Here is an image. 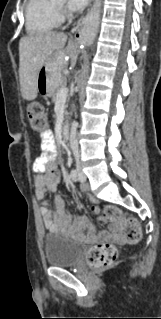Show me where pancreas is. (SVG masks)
Here are the masks:
<instances>
[{
  "mask_svg": "<svg viewBox=\"0 0 161 319\" xmlns=\"http://www.w3.org/2000/svg\"><path fill=\"white\" fill-rule=\"evenodd\" d=\"M64 86V83L62 82L61 85L55 90V92L52 94V101L55 103L57 101V93L60 89H62ZM67 114V112L65 113Z\"/></svg>",
  "mask_w": 161,
  "mask_h": 319,
  "instance_id": "pancreas-1",
  "label": "pancreas"
}]
</instances>
